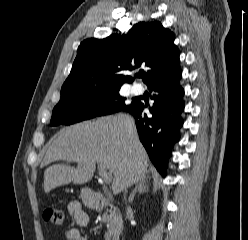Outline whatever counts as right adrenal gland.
Masks as SVG:
<instances>
[{"instance_id":"2a0ac1e0","label":"right adrenal gland","mask_w":248,"mask_h":240,"mask_svg":"<svg viewBox=\"0 0 248 240\" xmlns=\"http://www.w3.org/2000/svg\"><path fill=\"white\" fill-rule=\"evenodd\" d=\"M148 191H149V187L147 185V181L145 179L140 180L135 186L132 193L130 194L128 198V203L131 204L133 202L134 196L137 192L141 194V193L148 192Z\"/></svg>"}]
</instances>
